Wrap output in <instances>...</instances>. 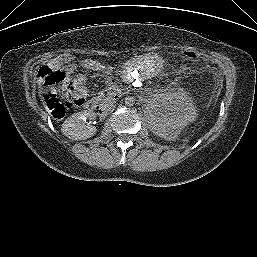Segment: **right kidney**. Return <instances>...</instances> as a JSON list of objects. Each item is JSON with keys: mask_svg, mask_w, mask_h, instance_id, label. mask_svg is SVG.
<instances>
[{"mask_svg": "<svg viewBox=\"0 0 257 257\" xmlns=\"http://www.w3.org/2000/svg\"><path fill=\"white\" fill-rule=\"evenodd\" d=\"M87 118L93 119L94 114L87 110L74 113L62 124V133L72 140H85L92 137L97 129L95 126L83 123Z\"/></svg>", "mask_w": 257, "mask_h": 257, "instance_id": "ca27d5eb", "label": "right kidney"}]
</instances>
